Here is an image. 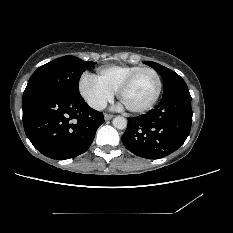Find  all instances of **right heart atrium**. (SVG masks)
Instances as JSON below:
<instances>
[{
    "label": "right heart atrium",
    "mask_w": 233,
    "mask_h": 233,
    "mask_svg": "<svg viewBox=\"0 0 233 233\" xmlns=\"http://www.w3.org/2000/svg\"><path fill=\"white\" fill-rule=\"evenodd\" d=\"M79 91L87 104L95 110L104 109L114 96L112 92L100 85L92 76L82 77Z\"/></svg>",
    "instance_id": "1"
}]
</instances>
